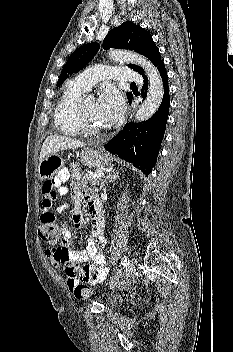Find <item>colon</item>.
Segmentation results:
<instances>
[{
	"instance_id": "obj_1",
	"label": "colon",
	"mask_w": 233,
	"mask_h": 352,
	"mask_svg": "<svg viewBox=\"0 0 233 352\" xmlns=\"http://www.w3.org/2000/svg\"><path fill=\"white\" fill-rule=\"evenodd\" d=\"M40 237L49 245L59 246L64 244L65 238L62 230L53 224H42L39 228ZM72 292L75 297L81 300L87 299L90 297V289L84 284H78Z\"/></svg>"
}]
</instances>
